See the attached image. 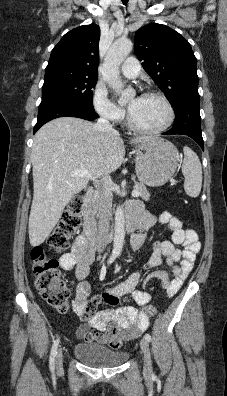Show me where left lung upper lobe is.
I'll list each match as a JSON object with an SVG mask.
<instances>
[{
	"label": "left lung upper lobe",
	"instance_id": "5c2ea615",
	"mask_svg": "<svg viewBox=\"0 0 227 396\" xmlns=\"http://www.w3.org/2000/svg\"><path fill=\"white\" fill-rule=\"evenodd\" d=\"M135 53L144 70L173 108L187 99H199L197 61L190 44L175 30L157 23L140 28Z\"/></svg>",
	"mask_w": 227,
	"mask_h": 396
}]
</instances>
